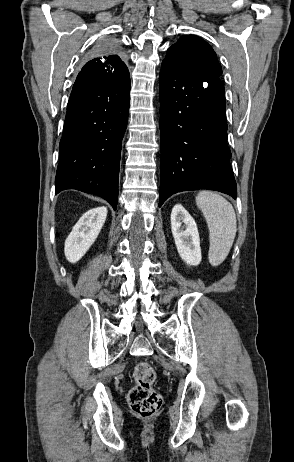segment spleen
<instances>
[{
	"label": "spleen",
	"mask_w": 294,
	"mask_h": 462,
	"mask_svg": "<svg viewBox=\"0 0 294 462\" xmlns=\"http://www.w3.org/2000/svg\"><path fill=\"white\" fill-rule=\"evenodd\" d=\"M196 204L203 212L209 228V262L216 266L227 257L237 232L234 208L221 195L211 191H201L196 196Z\"/></svg>",
	"instance_id": "1"
}]
</instances>
